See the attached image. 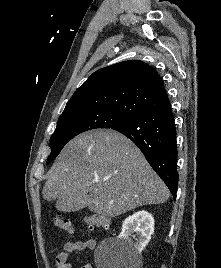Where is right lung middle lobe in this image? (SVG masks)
Masks as SVG:
<instances>
[{
	"label": "right lung middle lobe",
	"mask_w": 221,
	"mask_h": 268,
	"mask_svg": "<svg viewBox=\"0 0 221 268\" xmlns=\"http://www.w3.org/2000/svg\"><path fill=\"white\" fill-rule=\"evenodd\" d=\"M124 121H128V119L106 109L62 113L56 130L50 138L51 154L46 164L50 163L59 154L64 145L78 134L96 128H112Z\"/></svg>",
	"instance_id": "dd1d6c3e"
}]
</instances>
